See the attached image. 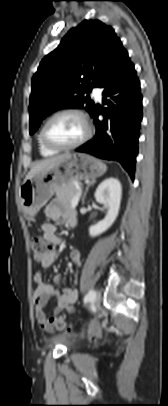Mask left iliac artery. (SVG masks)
<instances>
[{
	"label": "left iliac artery",
	"instance_id": "left-iliac-artery-1",
	"mask_svg": "<svg viewBox=\"0 0 168 406\" xmlns=\"http://www.w3.org/2000/svg\"><path fill=\"white\" fill-rule=\"evenodd\" d=\"M94 290H90L84 297V303L91 301L94 297Z\"/></svg>",
	"mask_w": 168,
	"mask_h": 406
}]
</instances>
